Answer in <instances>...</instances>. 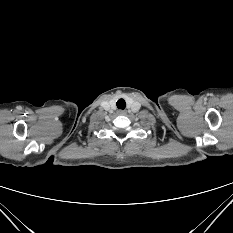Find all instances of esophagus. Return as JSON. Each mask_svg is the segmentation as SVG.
Returning <instances> with one entry per match:
<instances>
[{"label": "esophagus", "mask_w": 233, "mask_h": 233, "mask_svg": "<svg viewBox=\"0 0 233 233\" xmlns=\"http://www.w3.org/2000/svg\"><path fill=\"white\" fill-rule=\"evenodd\" d=\"M118 114H119V115H125V114H126V112H125V111H123V110H119V111H118Z\"/></svg>", "instance_id": "obj_1"}]
</instances>
